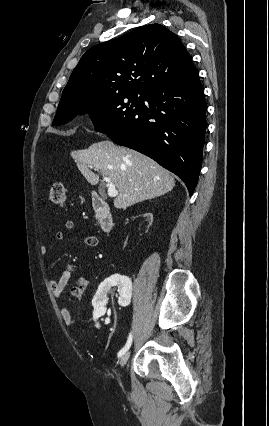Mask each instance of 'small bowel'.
I'll use <instances>...</instances> for the list:
<instances>
[{"instance_id": "c3829d8e", "label": "small bowel", "mask_w": 269, "mask_h": 426, "mask_svg": "<svg viewBox=\"0 0 269 426\" xmlns=\"http://www.w3.org/2000/svg\"><path fill=\"white\" fill-rule=\"evenodd\" d=\"M64 227L66 230L71 231L74 229V223L72 221H66L64 224ZM65 237V234L62 231H59L55 234V240L56 241H62ZM83 243L87 245L88 247H97L99 244L98 239L95 236H85L83 237ZM41 251L43 254H46L48 252V248L43 246L41 248ZM75 270V265L73 263H67L60 273L58 278H51L49 280V287L51 289V292L55 298H60L72 273ZM89 286V280L85 277H80L76 280L75 284L70 289V294L73 297L79 298L84 295L87 288ZM60 314L62 317V320L66 324H72L75 322L76 318L72 315L69 308L66 305L60 306Z\"/></svg>"}]
</instances>
